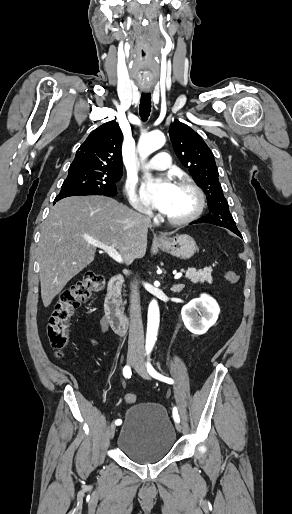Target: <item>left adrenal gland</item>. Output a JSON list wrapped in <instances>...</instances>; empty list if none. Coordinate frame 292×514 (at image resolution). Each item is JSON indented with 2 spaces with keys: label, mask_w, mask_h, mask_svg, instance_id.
Segmentation results:
<instances>
[{
  "label": "left adrenal gland",
  "mask_w": 292,
  "mask_h": 514,
  "mask_svg": "<svg viewBox=\"0 0 292 514\" xmlns=\"http://www.w3.org/2000/svg\"><path fill=\"white\" fill-rule=\"evenodd\" d=\"M182 288H184V284H177V286H173L171 290L172 292H181Z\"/></svg>",
  "instance_id": "left-adrenal-gland-1"
}]
</instances>
